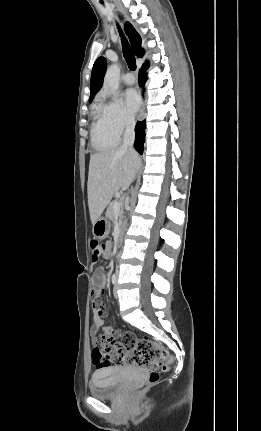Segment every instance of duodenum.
<instances>
[{"label":"duodenum","instance_id":"410a0bca","mask_svg":"<svg viewBox=\"0 0 261 431\" xmlns=\"http://www.w3.org/2000/svg\"><path fill=\"white\" fill-rule=\"evenodd\" d=\"M123 236V229L120 228L116 233V243L119 244Z\"/></svg>","mask_w":261,"mask_h":431}]
</instances>
